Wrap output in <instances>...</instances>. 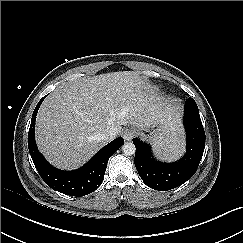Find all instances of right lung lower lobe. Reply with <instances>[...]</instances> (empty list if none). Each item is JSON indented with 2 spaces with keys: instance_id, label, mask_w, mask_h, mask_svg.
<instances>
[{
  "instance_id": "right-lung-lower-lobe-1",
  "label": "right lung lower lobe",
  "mask_w": 243,
  "mask_h": 243,
  "mask_svg": "<svg viewBox=\"0 0 243 243\" xmlns=\"http://www.w3.org/2000/svg\"><path fill=\"white\" fill-rule=\"evenodd\" d=\"M45 97L38 102L33 112L28 133V147L33 163L44 182L52 189L76 197L90 194L101 185L110 156L118 150L124 140L122 137L116 138L77 170L63 171L54 168L38 151L34 136L36 115Z\"/></svg>"
}]
</instances>
